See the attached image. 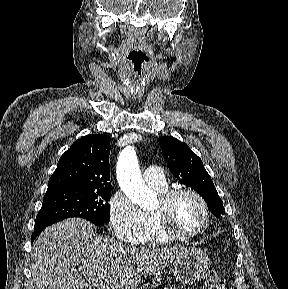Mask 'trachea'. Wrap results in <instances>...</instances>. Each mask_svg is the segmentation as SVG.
<instances>
[{
  "instance_id": "3493384b",
  "label": "trachea",
  "mask_w": 288,
  "mask_h": 289,
  "mask_svg": "<svg viewBox=\"0 0 288 289\" xmlns=\"http://www.w3.org/2000/svg\"><path fill=\"white\" fill-rule=\"evenodd\" d=\"M128 60L135 69H140L143 63L148 61V58L143 51L139 49H133L128 55Z\"/></svg>"
}]
</instances>
